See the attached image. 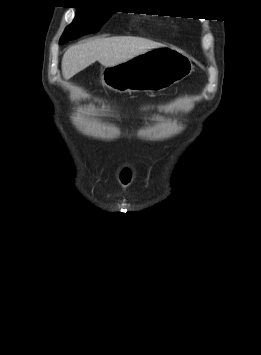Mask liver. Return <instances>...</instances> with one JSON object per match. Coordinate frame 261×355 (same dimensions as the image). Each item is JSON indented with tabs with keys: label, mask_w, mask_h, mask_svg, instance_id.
<instances>
[{
	"label": "liver",
	"mask_w": 261,
	"mask_h": 355,
	"mask_svg": "<svg viewBox=\"0 0 261 355\" xmlns=\"http://www.w3.org/2000/svg\"><path fill=\"white\" fill-rule=\"evenodd\" d=\"M161 46L152 40L132 36L89 40L73 45L65 52L62 73L65 79H70L96 61L111 67Z\"/></svg>",
	"instance_id": "1"
}]
</instances>
